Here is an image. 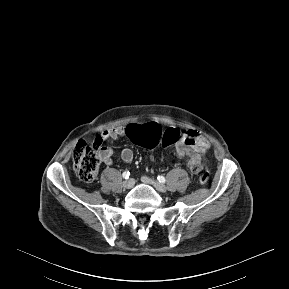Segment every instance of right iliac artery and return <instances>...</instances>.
I'll return each mask as SVG.
<instances>
[{
    "label": "right iliac artery",
    "mask_w": 289,
    "mask_h": 289,
    "mask_svg": "<svg viewBox=\"0 0 289 289\" xmlns=\"http://www.w3.org/2000/svg\"><path fill=\"white\" fill-rule=\"evenodd\" d=\"M123 178L128 179L130 176V172L129 171H124L122 174Z\"/></svg>",
    "instance_id": "obj_1"
}]
</instances>
